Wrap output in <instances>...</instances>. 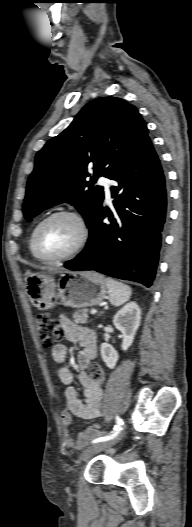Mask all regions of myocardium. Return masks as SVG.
Here are the masks:
<instances>
[{"instance_id":"obj_1","label":"myocardium","mask_w":192,"mask_h":527,"mask_svg":"<svg viewBox=\"0 0 192 527\" xmlns=\"http://www.w3.org/2000/svg\"><path fill=\"white\" fill-rule=\"evenodd\" d=\"M59 216L71 217L77 222V224L79 226V231H80L79 239H78L76 245L68 253H66L64 255H61V256H58V257H46V256L42 255L40 250H39V245H38L39 233H40L41 229L43 228V226L47 222H49L51 219H53L55 217H59ZM88 238H89V226H88V223H87L85 217L80 212H78V211H76L74 209H59V210H56V211L48 214L47 216H45L35 226L33 234H32V242H31L32 251H33L34 256L37 259H39L40 261H42V262H45V263H59V262H62V261L69 260V259L75 257L77 254H79L82 251V249L85 247V245H86V243L88 241Z\"/></svg>"}]
</instances>
